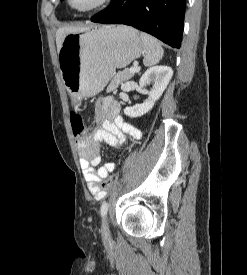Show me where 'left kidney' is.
Instances as JSON below:
<instances>
[{"instance_id":"obj_1","label":"left kidney","mask_w":247,"mask_h":275,"mask_svg":"<svg viewBox=\"0 0 247 275\" xmlns=\"http://www.w3.org/2000/svg\"><path fill=\"white\" fill-rule=\"evenodd\" d=\"M172 76L173 70L168 66L159 65L149 68L139 81L140 88L148 94L149 99L142 104L126 107L124 114L136 118L148 113L163 94ZM148 85H151L149 90L146 89Z\"/></svg>"}]
</instances>
